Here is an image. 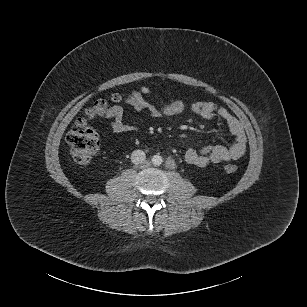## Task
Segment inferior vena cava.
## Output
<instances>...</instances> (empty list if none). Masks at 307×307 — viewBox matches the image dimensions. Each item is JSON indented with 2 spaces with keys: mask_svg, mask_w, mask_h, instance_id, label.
<instances>
[{
  "mask_svg": "<svg viewBox=\"0 0 307 307\" xmlns=\"http://www.w3.org/2000/svg\"><path fill=\"white\" fill-rule=\"evenodd\" d=\"M146 159L145 152L142 150H134L131 154V161L134 164H140Z\"/></svg>",
  "mask_w": 307,
  "mask_h": 307,
  "instance_id": "obj_1",
  "label": "inferior vena cava"
}]
</instances>
